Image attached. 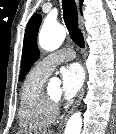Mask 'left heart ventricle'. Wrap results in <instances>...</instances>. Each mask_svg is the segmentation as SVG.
<instances>
[{
	"label": "left heart ventricle",
	"instance_id": "b2bd125f",
	"mask_svg": "<svg viewBox=\"0 0 116 134\" xmlns=\"http://www.w3.org/2000/svg\"><path fill=\"white\" fill-rule=\"evenodd\" d=\"M48 94L54 98V99H58L59 96H60V90L58 87H54V88H51L48 92Z\"/></svg>",
	"mask_w": 116,
	"mask_h": 134
}]
</instances>
